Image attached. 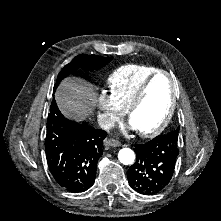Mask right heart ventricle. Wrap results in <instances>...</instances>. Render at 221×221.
I'll return each mask as SVG.
<instances>
[{"instance_id": "1", "label": "right heart ventricle", "mask_w": 221, "mask_h": 221, "mask_svg": "<svg viewBox=\"0 0 221 221\" xmlns=\"http://www.w3.org/2000/svg\"><path fill=\"white\" fill-rule=\"evenodd\" d=\"M157 70L149 65L127 64L115 69L108 76L109 90L122 109L127 107L138 88Z\"/></svg>"}]
</instances>
